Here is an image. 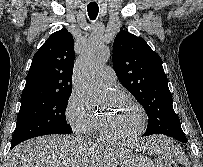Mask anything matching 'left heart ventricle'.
<instances>
[{"label": "left heart ventricle", "mask_w": 203, "mask_h": 167, "mask_svg": "<svg viewBox=\"0 0 203 167\" xmlns=\"http://www.w3.org/2000/svg\"><path fill=\"white\" fill-rule=\"evenodd\" d=\"M100 117L107 129L118 137L132 135L140 125L139 112L121 98H115L112 108L102 113Z\"/></svg>", "instance_id": "left-heart-ventricle-1"}]
</instances>
